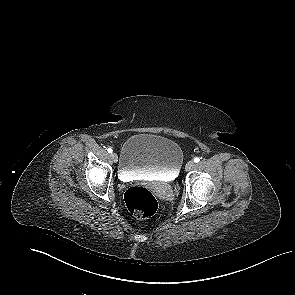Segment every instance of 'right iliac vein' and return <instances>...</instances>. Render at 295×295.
Listing matches in <instances>:
<instances>
[{
	"label": "right iliac vein",
	"mask_w": 295,
	"mask_h": 295,
	"mask_svg": "<svg viewBox=\"0 0 295 295\" xmlns=\"http://www.w3.org/2000/svg\"><path fill=\"white\" fill-rule=\"evenodd\" d=\"M110 157H111V159L113 160V162H117L118 161V156H117V154L116 153H112L111 155H110Z\"/></svg>",
	"instance_id": "obj_1"
}]
</instances>
